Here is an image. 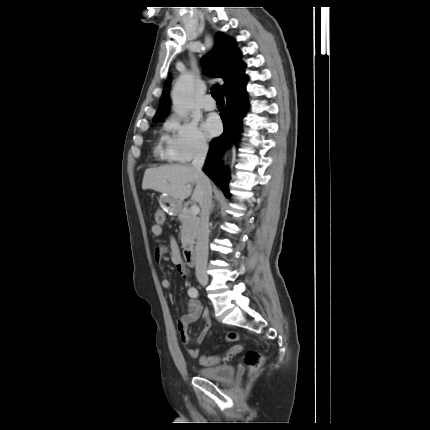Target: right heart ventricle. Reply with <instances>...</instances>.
Listing matches in <instances>:
<instances>
[{"label":"right heart ventricle","mask_w":430,"mask_h":430,"mask_svg":"<svg viewBox=\"0 0 430 430\" xmlns=\"http://www.w3.org/2000/svg\"><path fill=\"white\" fill-rule=\"evenodd\" d=\"M157 151H160V148L159 147H157V149H156Z\"/></svg>","instance_id":"obj_1"}]
</instances>
